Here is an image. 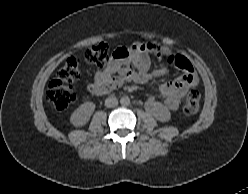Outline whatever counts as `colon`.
I'll use <instances>...</instances> for the list:
<instances>
[{"mask_svg":"<svg viewBox=\"0 0 248 194\" xmlns=\"http://www.w3.org/2000/svg\"><path fill=\"white\" fill-rule=\"evenodd\" d=\"M157 59H165L172 65L174 54L167 53L165 50L155 52ZM110 61V54L105 43L89 47L84 55L80 57H71L66 60L60 68L55 79L51 80L46 88L47 99L59 110L67 108L76 97V91L72 83L77 80L82 73L84 62L105 67ZM200 107V93L197 90H191L185 96L182 102V110L187 116L195 115Z\"/></svg>","mask_w":248,"mask_h":194,"instance_id":"obj_1","label":"colon"}]
</instances>
